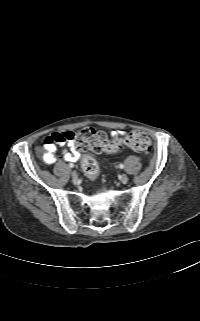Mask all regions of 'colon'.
Returning a JSON list of instances; mask_svg holds the SVG:
<instances>
[{"label":"colon","instance_id":"5ec220e1","mask_svg":"<svg viewBox=\"0 0 200 321\" xmlns=\"http://www.w3.org/2000/svg\"><path fill=\"white\" fill-rule=\"evenodd\" d=\"M73 138L80 150H90L97 154L104 152L114 153L118 151L120 145L111 142L104 132L91 127H86L77 133H73ZM121 144L143 154L150 153L152 148L149 137L142 131H132L121 140ZM82 170L90 179H95L99 174L98 164L91 156L83 158Z\"/></svg>","mask_w":200,"mask_h":321}]
</instances>
